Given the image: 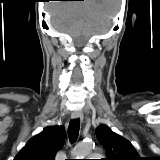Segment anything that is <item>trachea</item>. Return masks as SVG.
<instances>
[{"label": "trachea", "mask_w": 160, "mask_h": 160, "mask_svg": "<svg viewBox=\"0 0 160 160\" xmlns=\"http://www.w3.org/2000/svg\"><path fill=\"white\" fill-rule=\"evenodd\" d=\"M79 129H80V120L79 119L71 120L68 127V136L71 143L77 140Z\"/></svg>", "instance_id": "1"}]
</instances>
